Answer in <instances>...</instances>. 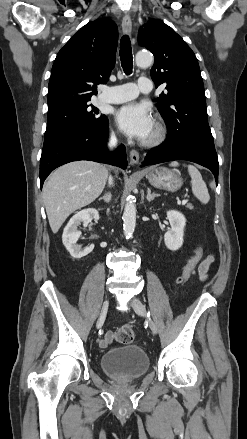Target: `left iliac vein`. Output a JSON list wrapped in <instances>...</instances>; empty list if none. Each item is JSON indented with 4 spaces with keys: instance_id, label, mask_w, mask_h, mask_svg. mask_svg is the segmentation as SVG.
<instances>
[{
    "instance_id": "1",
    "label": "left iliac vein",
    "mask_w": 247,
    "mask_h": 439,
    "mask_svg": "<svg viewBox=\"0 0 247 439\" xmlns=\"http://www.w3.org/2000/svg\"><path fill=\"white\" fill-rule=\"evenodd\" d=\"M130 304L138 315L146 316L145 305L138 298H133ZM149 327L154 334H157L158 332L157 326L152 320H149Z\"/></svg>"
}]
</instances>
